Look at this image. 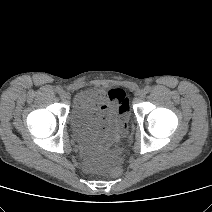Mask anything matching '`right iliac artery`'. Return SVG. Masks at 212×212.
<instances>
[{
	"instance_id": "82829eb1",
	"label": "right iliac artery",
	"mask_w": 212,
	"mask_h": 212,
	"mask_svg": "<svg viewBox=\"0 0 212 212\" xmlns=\"http://www.w3.org/2000/svg\"><path fill=\"white\" fill-rule=\"evenodd\" d=\"M61 90H62V88H61L60 86H57V87H56V92H57V93H60Z\"/></svg>"
}]
</instances>
